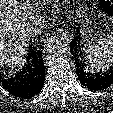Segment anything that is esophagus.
Wrapping results in <instances>:
<instances>
[{
	"label": "esophagus",
	"instance_id": "obj_1",
	"mask_svg": "<svg viewBox=\"0 0 113 113\" xmlns=\"http://www.w3.org/2000/svg\"><path fill=\"white\" fill-rule=\"evenodd\" d=\"M61 39L65 40L66 42H70V40L72 39L71 34H69L68 31L64 30V29H59L58 33H57Z\"/></svg>",
	"mask_w": 113,
	"mask_h": 113
}]
</instances>
